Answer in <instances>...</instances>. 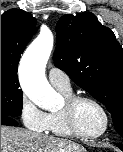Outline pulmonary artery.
Segmentation results:
<instances>
[{"mask_svg":"<svg viewBox=\"0 0 123 152\" xmlns=\"http://www.w3.org/2000/svg\"><path fill=\"white\" fill-rule=\"evenodd\" d=\"M48 79L49 82L57 89H71L70 78L68 77V75L56 67H51L48 70Z\"/></svg>","mask_w":123,"mask_h":152,"instance_id":"pulmonary-artery-1","label":"pulmonary artery"}]
</instances>
